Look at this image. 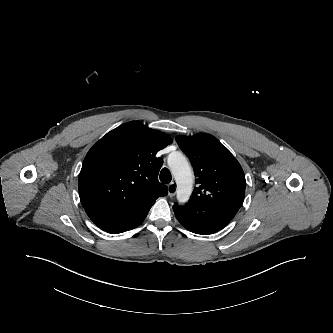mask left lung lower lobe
Masks as SVG:
<instances>
[{
    "label": "left lung lower lobe",
    "instance_id": "left-lung-lower-lobe-1",
    "mask_svg": "<svg viewBox=\"0 0 333 333\" xmlns=\"http://www.w3.org/2000/svg\"><path fill=\"white\" fill-rule=\"evenodd\" d=\"M238 197H222L201 203L175 204L173 211L184 228L196 234L208 235L224 228L241 206Z\"/></svg>",
    "mask_w": 333,
    "mask_h": 333
}]
</instances>
